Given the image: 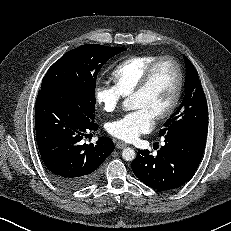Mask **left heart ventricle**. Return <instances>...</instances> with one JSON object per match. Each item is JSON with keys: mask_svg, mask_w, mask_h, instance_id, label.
Masks as SVG:
<instances>
[{"mask_svg": "<svg viewBox=\"0 0 231 231\" xmlns=\"http://www.w3.org/2000/svg\"><path fill=\"white\" fill-rule=\"evenodd\" d=\"M177 82L174 66L163 61L155 68L146 90L131 98L134 108H147L154 116L163 111L170 103Z\"/></svg>", "mask_w": 231, "mask_h": 231, "instance_id": "obj_1", "label": "left heart ventricle"}]
</instances>
